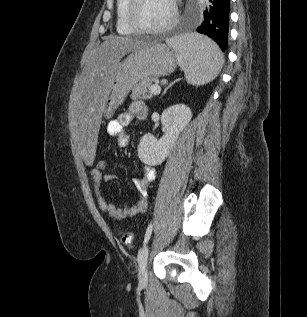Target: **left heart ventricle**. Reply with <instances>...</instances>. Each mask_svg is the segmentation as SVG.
Listing matches in <instances>:
<instances>
[{
  "label": "left heart ventricle",
  "instance_id": "obj_1",
  "mask_svg": "<svg viewBox=\"0 0 307 317\" xmlns=\"http://www.w3.org/2000/svg\"><path fill=\"white\" fill-rule=\"evenodd\" d=\"M172 16L170 0H142L138 9L139 22L149 28H159Z\"/></svg>",
  "mask_w": 307,
  "mask_h": 317
}]
</instances>
